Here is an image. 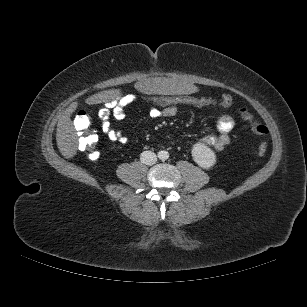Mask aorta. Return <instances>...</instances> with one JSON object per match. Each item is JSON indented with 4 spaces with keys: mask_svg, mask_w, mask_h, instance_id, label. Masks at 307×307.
I'll list each match as a JSON object with an SVG mask.
<instances>
[{
    "mask_svg": "<svg viewBox=\"0 0 307 307\" xmlns=\"http://www.w3.org/2000/svg\"><path fill=\"white\" fill-rule=\"evenodd\" d=\"M158 158L162 161L167 160L169 158V153L167 151H159Z\"/></svg>",
    "mask_w": 307,
    "mask_h": 307,
    "instance_id": "aorta-1",
    "label": "aorta"
}]
</instances>
